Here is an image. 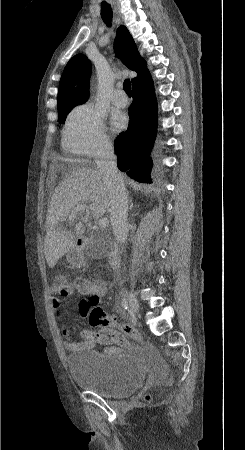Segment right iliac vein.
Masks as SVG:
<instances>
[{"mask_svg": "<svg viewBox=\"0 0 245 450\" xmlns=\"http://www.w3.org/2000/svg\"><path fill=\"white\" fill-rule=\"evenodd\" d=\"M128 302H129V306H130L132 313L135 315L138 314L140 305H139V302L133 292H129Z\"/></svg>", "mask_w": 245, "mask_h": 450, "instance_id": "1", "label": "right iliac vein"}]
</instances>
